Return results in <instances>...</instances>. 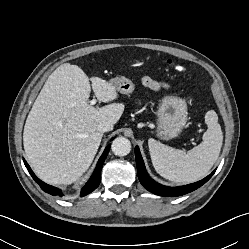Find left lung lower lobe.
<instances>
[{"label":"left lung lower lobe","mask_w":249,"mask_h":249,"mask_svg":"<svg viewBox=\"0 0 249 249\" xmlns=\"http://www.w3.org/2000/svg\"><path fill=\"white\" fill-rule=\"evenodd\" d=\"M135 157H136V163H137V171H138V178L141 182V184L150 192L160 195V196H167V197H174V196H180L184 195L186 193L192 192L202 186L204 183H206L211 176L215 173L213 171L210 175H208L206 178L185 186H179V187H168L161 185L157 182H155L150 176L148 175L145 165L142 159V156L139 151V147L136 146L135 148Z\"/></svg>","instance_id":"obj_1"}]
</instances>
